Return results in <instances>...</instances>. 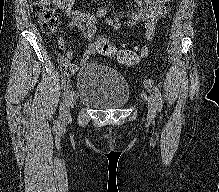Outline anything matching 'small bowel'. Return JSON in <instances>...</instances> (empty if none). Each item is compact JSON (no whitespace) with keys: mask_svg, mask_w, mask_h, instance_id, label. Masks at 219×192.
Wrapping results in <instances>:
<instances>
[{"mask_svg":"<svg viewBox=\"0 0 219 192\" xmlns=\"http://www.w3.org/2000/svg\"><path fill=\"white\" fill-rule=\"evenodd\" d=\"M58 9L67 17V27L79 30L88 41L81 63L90 60L96 51L97 43L103 40L97 34V18L105 20L113 29L120 28L122 22L129 27L141 24L144 28L145 44L140 49V55L145 57L149 52V44L155 35V26L160 18L170 12V0H135L138 10L135 12H112L107 6L101 7L97 14L76 10L73 8L74 0H51ZM60 47L66 50V45L60 41ZM68 58L74 56V52L67 50Z\"/></svg>","mask_w":219,"mask_h":192,"instance_id":"1","label":"small bowel"}]
</instances>
